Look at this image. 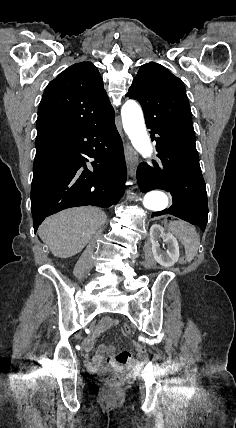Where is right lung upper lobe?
Instances as JSON below:
<instances>
[{
  "mask_svg": "<svg viewBox=\"0 0 236 428\" xmlns=\"http://www.w3.org/2000/svg\"><path fill=\"white\" fill-rule=\"evenodd\" d=\"M113 114L98 69L91 62L76 63L46 87L39 105L36 142Z\"/></svg>",
  "mask_w": 236,
  "mask_h": 428,
  "instance_id": "1",
  "label": "right lung upper lobe"
}]
</instances>
